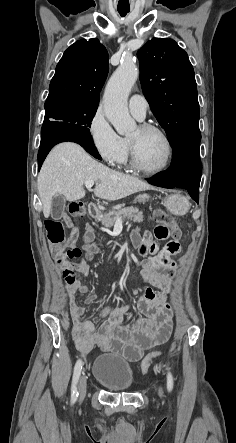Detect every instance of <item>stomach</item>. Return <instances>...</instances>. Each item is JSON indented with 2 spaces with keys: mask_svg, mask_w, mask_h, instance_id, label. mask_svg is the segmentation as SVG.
<instances>
[{
  "mask_svg": "<svg viewBox=\"0 0 236 443\" xmlns=\"http://www.w3.org/2000/svg\"><path fill=\"white\" fill-rule=\"evenodd\" d=\"M148 199L149 196L147 194H143L139 195L136 198V201L146 202ZM165 206L171 213L175 215H182L187 212L189 208V202L184 196H181L179 194H171L166 198Z\"/></svg>",
  "mask_w": 236,
  "mask_h": 443,
  "instance_id": "1",
  "label": "stomach"
}]
</instances>
